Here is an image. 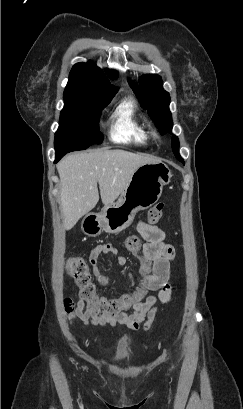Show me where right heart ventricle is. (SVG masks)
Instances as JSON below:
<instances>
[{
  "label": "right heart ventricle",
  "mask_w": 243,
  "mask_h": 409,
  "mask_svg": "<svg viewBox=\"0 0 243 409\" xmlns=\"http://www.w3.org/2000/svg\"><path fill=\"white\" fill-rule=\"evenodd\" d=\"M110 138L117 143L147 147L150 132L136 118L135 105L131 100L122 101L112 113Z\"/></svg>",
  "instance_id": "e07e8e85"
}]
</instances>
